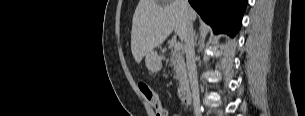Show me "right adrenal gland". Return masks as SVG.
<instances>
[{"mask_svg":"<svg viewBox=\"0 0 305 116\" xmlns=\"http://www.w3.org/2000/svg\"><path fill=\"white\" fill-rule=\"evenodd\" d=\"M197 38H198V36H197V35H195V43L197 42Z\"/></svg>","mask_w":305,"mask_h":116,"instance_id":"2a0ac1e0","label":"right adrenal gland"}]
</instances>
